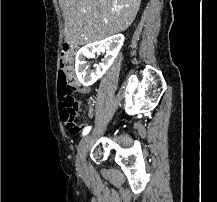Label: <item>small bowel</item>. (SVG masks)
<instances>
[{"label":"small bowel","instance_id":"small-bowel-1","mask_svg":"<svg viewBox=\"0 0 217 202\" xmlns=\"http://www.w3.org/2000/svg\"><path fill=\"white\" fill-rule=\"evenodd\" d=\"M71 79L74 81L75 87L78 88V87H79V83H78V81L76 80L75 75H72V76H71ZM87 115H88L89 118H92V117L94 116V108H93L92 105L89 106L88 111H87ZM80 126H81V128H84V127H85L84 124H81Z\"/></svg>","mask_w":217,"mask_h":202}]
</instances>
